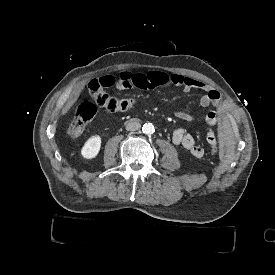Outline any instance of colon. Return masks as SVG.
<instances>
[{
    "mask_svg": "<svg viewBox=\"0 0 275 275\" xmlns=\"http://www.w3.org/2000/svg\"><path fill=\"white\" fill-rule=\"evenodd\" d=\"M87 88L91 89V94L95 101H99L101 108L111 112L125 111L132 107L133 100L129 98H116L104 92V85L100 83L98 77H87L85 80ZM95 103L91 101L83 102L76 110L75 116L68 128L71 136H80L84 134L89 122L95 117L97 110L93 108ZM208 153L212 157L219 158L221 153L218 148L212 146Z\"/></svg>",
    "mask_w": 275,
    "mask_h": 275,
    "instance_id": "obj_1",
    "label": "colon"
}]
</instances>
